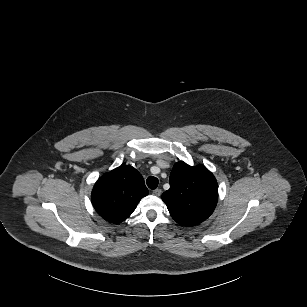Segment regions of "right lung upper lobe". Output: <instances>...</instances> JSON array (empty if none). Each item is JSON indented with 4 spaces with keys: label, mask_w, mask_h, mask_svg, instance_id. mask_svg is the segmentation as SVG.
Returning <instances> with one entry per match:
<instances>
[{
    "label": "right lung upper lobe",
    "mask_w": 307,
    "mask_h": 307,
    "mask_svg": "<svg viewBox=\"0 0 307 307\" xmlns=\"http://www.w3.org/2000/svg\"><path fill=\"white\" fill-rule=\"evenodd\" d=\"M147 194L141 174L134 167L123 165L98 179L91 200L97 213L105 220L120 223L131 215Z\"/></svg>",
    "instance_id": "obj_1"
}]
</instances>
